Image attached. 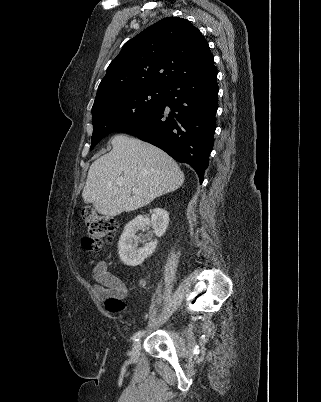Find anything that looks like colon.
I'll return each mask as SVG.
<instances>
[{"label":"colon","mask_w":321,"mask_h":402,"mask_svg":"<svg viewBox=\"0 0 321 402\" xmlns=\"http://www.w3.org/2000/svg\"><path fill=\"white\" fill-rule=\"evenodd\" d=\"M81 219L88 231L82 244L88 251L101 249L105 241L112 239L118 229V222L114 217L100 215L91 208L82 211ZM108 306L113 312H120L125 308L123 301L118 298H110Z\"/></svg>","instance_id":"5ec220e1"}]
</instances>
